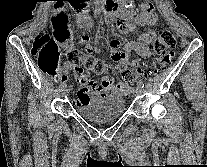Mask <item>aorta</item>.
I'll return each instance as SVG.
<instances>
[{
  "mask_svg": "<svg viewBox=\"0 0 207 167\" xmlns=\"http://www.w3.org/2000/svg\"><path fill=\"white\" fill-rule=\"evenodd\" d=\"M121 2L127 7L132 8L133 7V1L132 0H121Z\"/></svg>",
  "mask_w": 207,
  "mask_h": 167,
  "instance_id": "1",
  "label": "aorta"
}]
</instances>
